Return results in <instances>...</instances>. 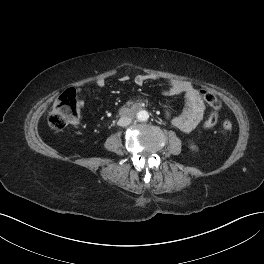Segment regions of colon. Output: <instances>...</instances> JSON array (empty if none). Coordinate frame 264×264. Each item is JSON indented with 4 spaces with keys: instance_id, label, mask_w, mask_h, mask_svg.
Here are the masks:
<instances>
[{
    "instance_id": "colon-1",
    "label": "colon",
    "mask_w": 264,
    "mask_h": 264,
    "mask_svg": "<svg viewBox=\"0 0 264 264\" xmlns=\"http://www.w3.org/2000/svg\"><path fill=\"white\" fill-rule=\"evenodd\" d=\"M203 99L212 108V112L203 123L205 128L214 126L218 121L221 103L211 91L203 89L200 91ZM80 111L77 103L75 91L72 89L63 92L56 100L53 109L49 115L48 123L53 130L60 131L68 124L75 122L79 117ZM222 128L229 133L233 129L231 121L226 120L222 123Z\"/></svg>"
}]
</instances>
